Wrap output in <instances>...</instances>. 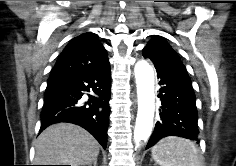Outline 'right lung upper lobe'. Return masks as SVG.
<instances>
[{
	"mask_svg": "<svg viewBox=\"0 0 236 166\" xmlns=\"http://www.w3.org/2000/svg\"><path fill=\"white\" fill-rule=\"evenodd\" d=\"M97 37L86 32L73 38L60 54L51 75L93 72L109 64L106 50Z\"/></svg>",
	"mask_w": 236,
	"mask_h": 166,
	"instance_id": "right-lung-upper-lobe-1",
	"label": "right lung upper lobe"
}]
</instances>
